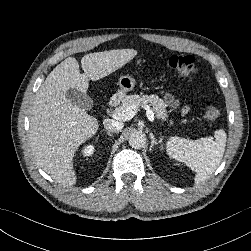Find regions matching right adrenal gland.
<instances>
[{
	"mask_svg": "<svg viewBox=\"0 0 251 251\" xmlns=\"http://www.w3.org/2000/svg\"><path fill=\"white\" fill-rule=\"evenodd\" d=\"M109 136H113V134L110 131H105Z\"/></svg>",
	"mask_w": 251,
	"mask_h": 251,
	"instance_id": "2a0ac1e0",
	"label": "right adrenal gland"
}]
</instances>
